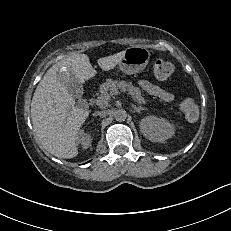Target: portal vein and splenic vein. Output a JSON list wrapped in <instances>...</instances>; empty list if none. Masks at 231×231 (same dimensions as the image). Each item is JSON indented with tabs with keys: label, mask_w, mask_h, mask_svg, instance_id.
<instances>
[{
	"label": "portal vein and splenic vein",
	"mask_w": 231,
	"mask_h": 231,
	"mask_svg": "<svg viewBox=\"0 0 231 231\" xmlns=\"http://www.w3.org/2000/svg\"><path fill=\"white\" fill-rule=\"evenodd\" d=\"M119 94H120V92L117 90H115L111 93V95H119ZM109 99H110V96H108V95L107 96H99L96 100V103L98 105H104V104L108 103Z\"/></svg>",
	"instance_id": "obj_1"
}]
</instances>
